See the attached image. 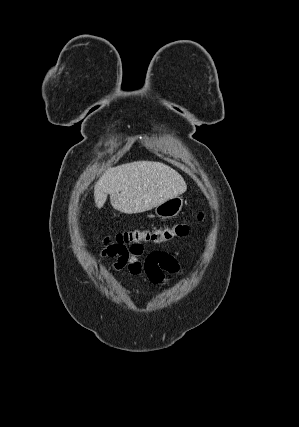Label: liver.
<instances>
[{
  "label": "liver",
  "mask_w": 299,
  "mask_h": 427,
  "mask_svg": "<svg viewBox=\"0 0 299 427\" xmlns=\"http://www.w3.org/2000/svg\"><path fill=\"white\" fill-rule=\"evenodd\" d=\"M187 185L171 167L152 161H136L109 168L94 187L98 208L107 195L114 209L126 213H141L183 194Z\"/></svg>",
  "instance_id": "6515ba94"
}]
</instances>
